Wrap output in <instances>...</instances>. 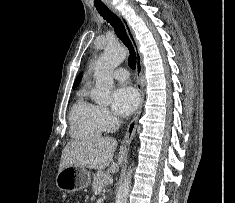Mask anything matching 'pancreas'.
Wrapping results in <instances>:
<instances>
[{
    "instance_id": "1",
    "label": "pancreas",
    "mask_w": 235,
    "mask_h": 203,
    "mask_svg": "<svg viewBox=\"0 0 235 203\" xmlns=\"http://www.w3.org/2000/svg\"><path fill=\"white\" fill-rule=\"evenodd\" d=\"M110 181V175L107 172L98 171L94 174L92 191L95 192L98 189L105 187Z\"/></svg>"
}]
</instances>
